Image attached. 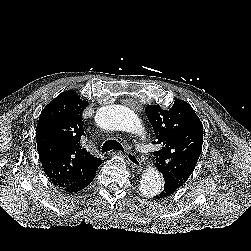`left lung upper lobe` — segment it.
Instances as JSON below:
<instances>
[{"mask_svg":"<svg viewBox=\"0 0 251 251\" xmlns=\"http://www.w3.org/2000/svg\"><path fill=\"white\" fill-rule=\"evenodd\" d=\"M146 115L154 129L161 149L155 151V166L164 179L172 178L182 186L193 172L203 144V126L183 100L176 99L171 109L148 105Z\"/></svg>","mask_w":251,"mask_h":251,"instance_id":"5c2ea615","label":"left lung upper lobe"}]
</instances>
